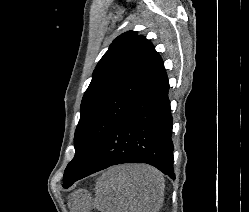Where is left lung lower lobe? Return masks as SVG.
Segmentation results:
<instances>
[{
  "instance_id": "obj_1",
  "label": "left lung lower lobe",
  "mask_w": 249,
  "mask_h": 212,
  "mask_svg": "<svg viewBox=\"0 0 249 212\" xmlns=\"http://www.w3.org/2000/svg\"><path fill=\"white\" fill-rule=\"evenodd\" d=\"M169 83L164 66L117 120L78 180L122 163H147L175 179ZM67 185L64 188H68Z\"/></svg>"
}]
</instances>
